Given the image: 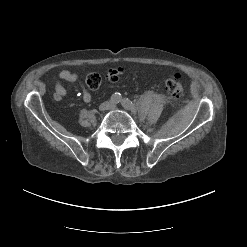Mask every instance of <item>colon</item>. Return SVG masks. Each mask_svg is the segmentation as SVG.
I'll use <instances>...</instances> for the list:
<instances>
[{
    "label": "colon",
    "instance_id": "1",
    "mask_svg": "<svg viewBox=\"0 0 247 247\" xmlns=\"http://www.w3.org/2000/svg\"><path fill=\"white\" fill-rule=\"evenodd\" d=\"M115 73L116 72L113 69L108 71V75H113ZM85 82L88 88L93 90L97 89L101 84V76L97 73H90L87 75ZM164 90L165 93L172 98H181L184 90L180 75L177 73L170 75L165 81Z\"/></svg>",
    "mask_w": 247,
    "mask_h": 247
}]
</instances>
